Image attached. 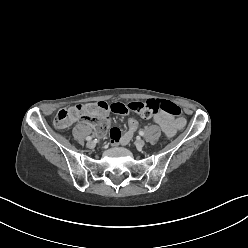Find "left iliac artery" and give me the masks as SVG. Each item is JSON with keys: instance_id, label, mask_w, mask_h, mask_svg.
I'll list each match as a JSON object with an SVG mask.
<instances>
[{"instance_id": "left-iliac-artery-1", "label": "left iliac artery", "mask_w": 248, "mask_h": 248, "mask_svg": "<svg viewBox=\"0 0 248 248\" xmlns=\"http://www.w3.org/2000/svg\"><path fill=\"white\" fill-rule=\"evenodd\" d=\"M139 135L143 136L144 132L143 131H139Z\"/></svg>"}]
</instances>
